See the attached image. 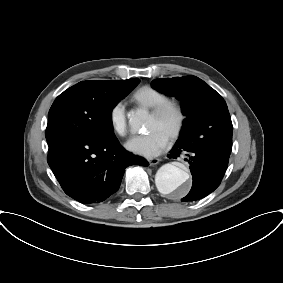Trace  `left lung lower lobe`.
Segmentation results:
<instances>
[{"label":"left lung lower lobe","instance_id":"obj_1","mask_svg":"<svg viewBox=\"0 0 283 283\" xmlns=\"http://www.w3.org/2000/svg\"><path fill=\"white\" fill-rule=\"evenodd\" d=\"M199 139L194 130L184 132L168 155L169 158H176L183 154L190 164L193 184L182 201L198 200L213 192L219 186L228 166L230 153L210 150Z\"/></svg>","mask_w":283,"mask_h":283}]
</instances>
